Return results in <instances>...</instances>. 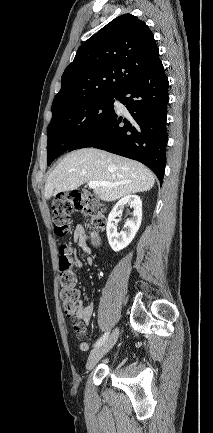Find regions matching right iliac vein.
Segmentation results:
<instances>
[{"label":"right iliac vein","instance_id":"right-iliac-vein-1","mask_svg":"<svg viewBox=\"0 0 213 433\" xmlns=\"http://www.w3.org/2000/svg\"><path fill=\"white\" fill-rule=\"evenodd\" d=\"M118 336L119 330L116 328L102 345L98 346L90 353L86 364L87 369H92L98 361L112 349Z\"/></svg>","mask_w":213,"mask_h":433}]
</instances>
